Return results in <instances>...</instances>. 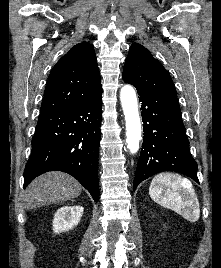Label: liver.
Instances as JSON below:
<instances>
[{"label": "liver", "instance_id": "obj_1", "mask_svg": "<svg viewBox=\"0 0 221 268\" xmlns=\"http://www.w3.org/2000/svg\"><path fill=\"white\" fill-rule=\"evenodd\" d=\"M81 184L62 172H49L33 180L23 196L25 209L60 203L78 197Z\"/></svg>", "mask_w": 221, "mask_h": 268}]
</instances>
